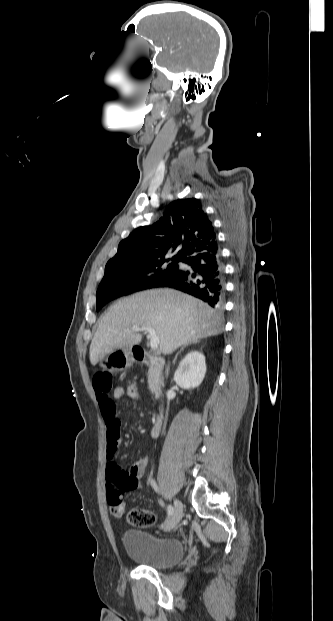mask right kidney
<instances>
[{
    "label": "right kidney",
    "instance_id": "ca27d5eb",
    "mask_svg": "<svg viewBox=\"0 0 333 621\" xmlns=\"http://www.w3.org/2000/svg\"><path fill=\"white\" fill-rule=\"evenodd\" d=\"M205 373V356L199 351H192L179 363L174 380L181 388L191 389L202 383Z\"/></svg>",
    "mask_w": 333,
    "mask_h": 621
}]
</instances>
